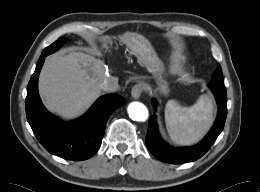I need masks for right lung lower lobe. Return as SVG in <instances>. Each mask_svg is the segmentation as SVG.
<instances>
[{
  "instance_id": "98d812e1",
  "label": "right lung lower lobe",
  "mask_w": 260,
  "mask_h": 192,
  "mask_svg": "<svg viewBox=\"0 0 260 192\" xmlns=\"http://www.w3.org/2000/svg\"><path fill=\"white\" fill-rule=\"evenodd\" d=\"M41 55L27 89V120L38 141L51 154L68 160H85L101 145L105 126L112 112L123 105V97L104 95L81 118L63 122L43 106L38 94V76L45 60Z\"/></svg>"
}]
</instances>
